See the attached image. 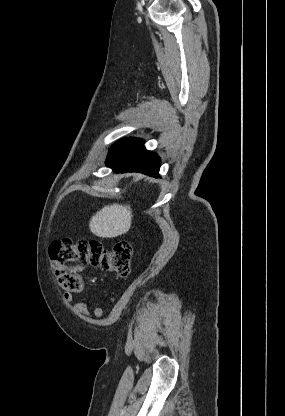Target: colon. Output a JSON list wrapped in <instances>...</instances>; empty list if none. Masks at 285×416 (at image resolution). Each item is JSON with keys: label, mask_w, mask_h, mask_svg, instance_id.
<instances>
[{"label": "colon", "mask_w": 285, "mask_h": 416, "mask_svg": "<svg viewBox=\"0 0 285 416\" xmlns=\"http://www.w3.org/2000/svg\"><path fill=\"white\" fill-rule=\"evenodd\" d=\"M49 254L59 285L67 291L79 292L84 286L80 273L89 265L127 277L132 247L126 241L106 248L98 241L63 239L51 244Z\"/></svg>", "instance_id": "1"}]
</instances>
